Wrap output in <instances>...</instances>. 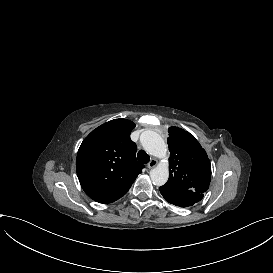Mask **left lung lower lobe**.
Wrapping results in <instances>:
<instances>
[{
  "label": "left lung lower lobe",
  "mask_w": 273,
  "mask_h": 273,
  "mask_svg": "<svg viewBox=\"0 0 273 273\" xmlns=\"http://www.w3.org/2000/svg\"><path fill=\"white\" fill-rule=\"evenodd\" d=\"M160 192L165 200L180 207L192 206L203 197V193H197L192 190H170L160 187Z\"/></svg>",
  "instance_id": "1"
}]
</instances>
